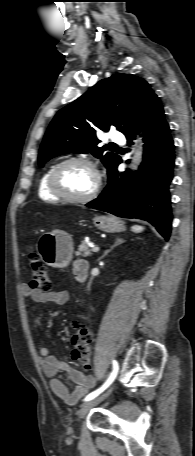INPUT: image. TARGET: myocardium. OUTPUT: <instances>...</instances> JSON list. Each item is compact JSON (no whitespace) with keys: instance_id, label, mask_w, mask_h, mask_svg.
I'll list each match as a JSON object with an SVG mask.
<instances>
[{"instance_id":"myocardium-1","label":"myocardium","mask_w":195,"mask_h":456,"mask_svg":"<svg viewBox=\"0 0 195 456\" xmlns=\"http://www.w3.org/2000/svg\"><path fill=\"white\" fill-rule=\"evenodd\" d=\"M72 163L85 164L88 167H90L94 172L95 185H94L93 189L91 190V192H89L85 196L69 195L60 186V183H59L60 172L63 170L64 167H66L67 165L72 164ZM101 182H102L101 174H100L97 166L94 164V162H92L90 159H88L86 157L67 158V159L61 161L60 163L56 164L52 168V170L50 171V174L48 176V187H49V190L51 191V193L54 194L59 199L66 201V202H70V203H87V202L91 201L92 199H94L100 190Z\"/></svg>"}]
</instances>
